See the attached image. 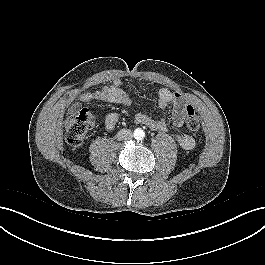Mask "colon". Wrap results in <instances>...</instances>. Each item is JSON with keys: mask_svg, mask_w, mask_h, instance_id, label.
<instances>
[{"mask_svg": "<svg viewBox=\"0 0 265 265\" xmlns=\"http://www.w3.org/2000/svg\"><path fill=\"white\" fill-rule=\"evenodd\" d=\"M185 125L190 131L200 128V118L192 106H187ZM95 123V116L89 109H82L76 114L67 117L65 121L66 141L73 146L82 143L86 133L90 131Z\"/></svg>", "mask_w": 265, "mask_h": 265, "instance_id": "1", "label": "colon"}]
</instances>
